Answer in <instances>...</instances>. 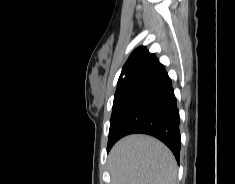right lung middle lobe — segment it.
Listing matches in <instances>:
<instances>
[{"mask_svg":"<svg viewBox=\"0 0 235 184\" xmlns=\"http://www.w3.org/2000/svg\"><path fill=\"white\" fill-rule=\"evenodd\" d=\"M124 90H119V91H116L115 93V96H114V102H113V111H112V116L114 115L117 107H118V104L119 102L121 101L122 99V96L124 94ZM111 116V117H112ZM112 146V138L111 136L109 135V139H108V145H107V152H109V149L110 147Z\"/></svg>","mask_w":235,"mask_h":184,"instance_id":"1","label":"right lung middle lobe"}]
</instances>
